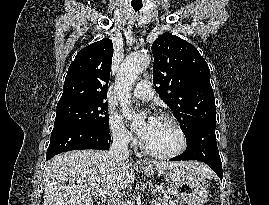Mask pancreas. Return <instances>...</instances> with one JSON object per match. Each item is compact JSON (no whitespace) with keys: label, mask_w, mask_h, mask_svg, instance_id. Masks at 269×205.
Wrapping results in <instances>:
<instances>
[{"label":"pancreas","mask_w":269,"mask_h":205,"mask_svg":"<svg viewBox=\"0 0 269 205\" xmlns=\"http://www.w3.org/2000/svg\"><path fill=\"white\" fill-rule=\"evenodd\" d=\"M153 205H177V204L175 202L169 201L166 198H161L156 200Z\"/></svg>","instance_id":"cf45deb5"}]
</instances>
